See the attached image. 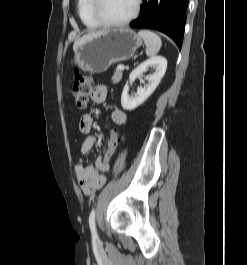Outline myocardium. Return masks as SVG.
<instances>
[{"label":"myocardium","instance_id":"f54148a6","mask_svg":"<svg viewBox=\"0 0 247 265\" xmlns=\"http://www.w3.org/2000/svg\"><path fill=\"white\" fill-rule=\"evenodd\" d=\"M102 0H91V13L93 18L96 20V22L106 28H119L124 27L130 23H132L139 15L141 6H142V0H136L135 7L133 12L129 17H127L124 20L121 21H109L103 17V15L100 12V4Z\"/></svg>","mask_w":247,"mask_h":265}]
</instances>
